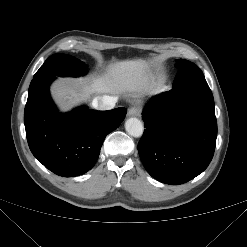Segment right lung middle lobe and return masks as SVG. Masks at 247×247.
I'll return each instance as SVG.
<instances>
[{
    "label": "right lung middle lobe",
    "mask_w": 247,
    "mask_h": 247,
    "mask_svg": "<svg viewBox=\"0 0 247 247\" xmlns=\"http://www.w3.org/2000/svg\"><path fill=\"white\" fill-rule=\"evenodd\" d=\"M87 73V66L76 58L65 54H54L36 72L34 77L54 76H79Z\"/></svg>",
    "instance_id": "dd1d6c3e"
}]
</instances>
